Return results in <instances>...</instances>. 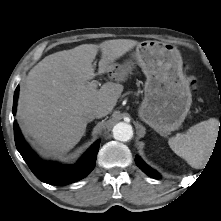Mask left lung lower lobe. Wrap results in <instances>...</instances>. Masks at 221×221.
Here are the masks:
<instances>
[{
	"label": "left lung lower lobe",
	"instance_id": "1",
	"mask_svg": "<svg viewBox=\"0 0 221 221\" xmlns=\"http://www.w3.org/2000/svg\"><path fill=\"white\" fill-rule=\"evenodd\" d=\"M218 143L221 145V137H219ZM135 160L136 164L140 167V169L143 170L148 176L154 179L161 178L160 174L155 170H153L152 168H150L148 165H146L139 156H136Z\"/></svg>",
	"mask_w": 221,
	"mask_h": 221
}]
</instances>
